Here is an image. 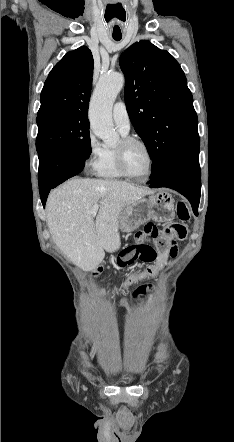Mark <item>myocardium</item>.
Wrapping results in <instances>:
<instances>
[{
	"label": "myocardium",
	"instance_id": "obj_1",
	"mask_svg": "<svg viewBox=\"0 0 234 442\" xmlns=\"http://www.w3.org/2000/svg\"><path fill=\"white\" fill-rule=\"evenodd\" d=\"M132 144H138L142 146L147 153L148 172L145 176L139 177L131 174L126 166V150ZM115 155H116L117 167L124 177H127L129 179L138 182H145L151 177L154 168V157L149 145L142 139L136 137H129V136L122 138L119 144L115 148Z\"/></svg>",
	"mask_w": 234,
	"mask_h": 442
}]
</instances>
